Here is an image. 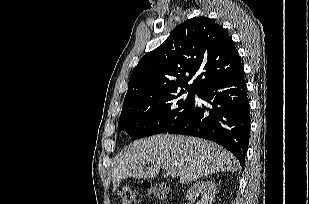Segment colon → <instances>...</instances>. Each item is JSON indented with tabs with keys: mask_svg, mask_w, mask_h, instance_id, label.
Returning <instances> with one entry per match:
<instances>
[{
	"mask_svg": "<svg viewBox=\"0 0 309 204\" xmlns=\"http://www.w3.org/2000/svg\"><path fill=\"white\" fill-rule=\"evenodd\" d=\"M146 194L150 197L158 196L163 197L167 194L169 187L167 184H157V185H150L147 184L145 186ZM119 197L121 204H137L140 199L141 195L138 190L131 188V187H124L119 191Z\"/></svg>",
	"mask_w": 309,
	"mask_h": 204,
	"instance_id": "colon-1",
	"label": "colon"
}]
</instances>
